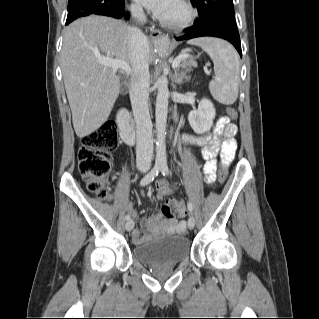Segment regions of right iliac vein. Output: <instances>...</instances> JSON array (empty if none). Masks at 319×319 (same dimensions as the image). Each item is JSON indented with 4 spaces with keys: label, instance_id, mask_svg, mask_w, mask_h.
<instances>
[{
    "label": "right iliac vein",
    "instance_id": "63e3f726",
    "mask_svg": "<svg viewBox=\"0 0 319 319\" xmlns=\"http://www.w3.org/2000/svg\"><path fill=\"white\" fill-rule=\"evenodd\" d=\"M133 227H134V222H133V220H128V221L126 222V225H125L126 230H127V231H131V230L133 229Z\"/></svg>",
    "mask_w": 319,
    "mask_h": 319
}]
</instances>
